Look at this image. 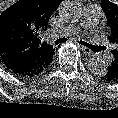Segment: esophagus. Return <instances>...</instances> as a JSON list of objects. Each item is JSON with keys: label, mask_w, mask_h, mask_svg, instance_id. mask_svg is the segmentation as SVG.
Here are the masks:
<instances>
[{"label": "esophagus", "mask_w": 118, "mask_h": 118, "mask_svg": "<svg viewBox=\"0 0 118 118\" xmlns=\"http://www.w3.org/2000/svg\"><path fill=\"white\" fill-rule=\"evenodd\" d=\"M79 47L85 55H88V56L94 55V53L89 48L82 46V45H79Z\"/></svg>", "instance_id": "1"}]
</instances>
